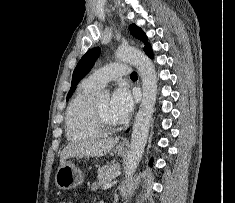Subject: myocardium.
<instances>
[{
    "mask_svg": "<svg viewBox=\"0 0 235 203\" xmlns=\"http://www.w3.org/2000/svg\"><path fill=\"white\" fill-rule=\"evenodd\" d=\"M93 118L94 122L102 134H111L118 131L121 124L111 125L102 116L96 102L93 103Z\"/></svg>",
    "mask_w": 235,
    "mask_h": 203,
    "instance_id": "obj_1",
    "label": "myocardium"
}]
</instances>
